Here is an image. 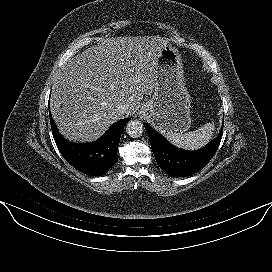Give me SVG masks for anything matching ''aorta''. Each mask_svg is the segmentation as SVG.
Wrapping results in <instances>:
<instances>
[{"label": "aorta", "mask_w": 272, "mask_h": 272, "mask_svg": "<svg viewBox=\"0 0 272 272\" xmlns=\"http://www.w3.org/2000/svg\"><path fill=\"white\" fill-rule=\"evenodd\" d=\"M143 131V124L138 120H131L126 125V133L132 138L140 137Z\"/></svg>", "instance_id": "1"}]
</instances>
